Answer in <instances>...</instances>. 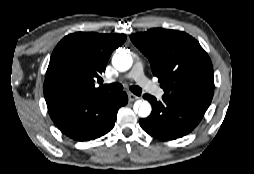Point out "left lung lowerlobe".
I'll return each instance as SVG.
<instances>
[{"label": "left lung lower lobe", "mask_w": 254, "mask_h": 174, "mask_svg": "<svg viewBox=\"0 0 254 174\" xmlns=\"http://www.w3.org/2000/svg\"><path fill=\"white\" fill-rule=\"evenodd\" d=\"M152 105V113L140 119V126L150 135L161 140H175L190 133L203 118L206 109L190 104L171 101L164 96L161 101L145 94Z\"/></svg>", "instance_id": "0a47b994"}]
</instances>
